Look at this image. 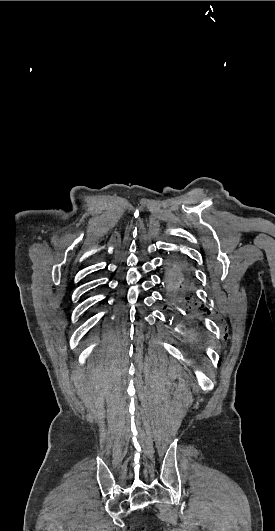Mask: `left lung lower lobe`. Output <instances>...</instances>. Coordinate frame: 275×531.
Wrapping results in <instances>:
<instances>
[{"label": "left lung lower lobe", "mask_w": 275, "mask_h": 531, "mask_svg": "<svg viewBox=\"0 0 275 531\" xmlns=\"http://www.w3.org/2000/svg\"><path fill=\"white\" fill-rule=\"evenodd\" d=\"M165 297L170 311L191 313L199 306L191 264L177 253L166 261L164 273ZM203 307V305H201ZM200 309V308H199ZM209 312V311H208Z\"/></svg>", "instance_id": "1"}]
</instances>
